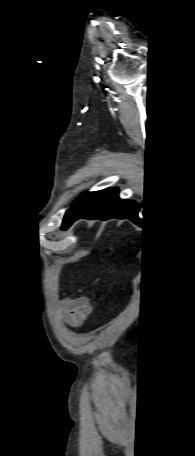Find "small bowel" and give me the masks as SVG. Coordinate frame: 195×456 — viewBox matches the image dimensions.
Here are the masks:
<instances>
[{"label": "small bowel", "instance_id": "small-bowel-1", "mask_svg": "<svg viewBox=\"0 0 195 456\" xmlns=\"http://www.w3.org/2000/svg\"><path fill=\"white\" fill-rule=\"evenodd\" d=\"M60 312L69 326L77 327L90 315L92 306L87 297L71 296L61 299Z\"/></svg>", "mask_w": 195, "mask_h": 456}]
</instances>
